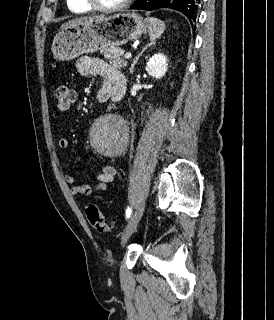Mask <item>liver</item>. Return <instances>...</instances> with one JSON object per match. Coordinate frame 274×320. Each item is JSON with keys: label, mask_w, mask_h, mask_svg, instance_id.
Masks as SVG:
<instances>
[{"label": "liver", "mask_w": 274, "mask_h": 320, "mask_svg": "<svg viewBox=\"0 0 274 320\" xmlns=\"http://www.w3.org/2000/svg\"><path fill=\"white\" fill-rule=\"evenodd\" d=\"M103 16H88V18H75V20H70L68 24H63L61 26V30L63 28H67V26H75V24H82V22H88V20H102Z\"/></svg>", "instance_id": "obj_1"}]
</instances>
